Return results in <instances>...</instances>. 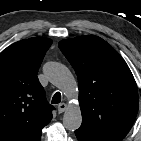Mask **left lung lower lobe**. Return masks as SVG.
Instances as JSON below:
<instances>
[{"instance_id":"obj_1","label":"left lung lower lobe","mask_w":141,"mask_h":141,"mask_svg":"<svg viewBox=\"0 0 141 141\" xmlns=\"http://www.w3.org/2000/svg\"><path fill=\"white\" fill-rule=\"evenodd\" d=\"M76 137L79 141H96L88 136H86L85 134H83L82 132L76 130L75 131Z\"/></svg>"}]
</instances>
